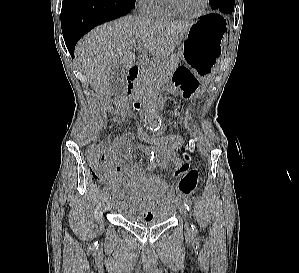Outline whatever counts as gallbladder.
<instances>
[{
	"label": "gallbladder",
	"instance_id": "obj_1",
	"mask_svg": "<svg viewBox=\"0 0 299 273\" xmlns=\"http://www.w3.org/2000/svg\"><path fill=\"white\" fill-rule=\"evenodd\" d=\"M126 73V68L120 63H117L113 68L111 78L109 80V86L114 97L121 98L125 95Z\"/></svg>",
	"mask_w": 299,
	"mask_h": 273
}]
</instances>
